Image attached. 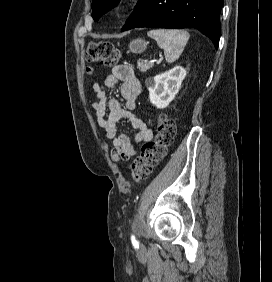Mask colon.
<instances>
[{"instance_id": "obj_1", "label": "colon", "mask_w": 272, "mask_h": 282, "mask_svg": "<svg viewBox=\"0 0 272 282\" xmlns=\"http://www.w3.org/2000/svg\"><path fill=\"white\" fill-rule=\"evenodd\" d=\"M120 51L111 43L95 42L89 44L86 61L105 66H116ZM175 137V124L165 116L160 117L157 134L153 141L146 143L141 154L130 165V177L134 181L146 179L154 168L164 159Z\"/></svg>"}]
</instances>
